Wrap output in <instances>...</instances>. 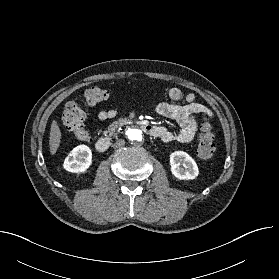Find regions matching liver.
Returning a JSON list of instances; mask_svg holds the SVG:
<instances>
[{"label":"liver","instance_id":"liver-1","mask_svg":"<svg viewBox=\"0 0 279 279\" xmlns=\"http://www.w3.org/2000/svg\"><path fill=\"white\" fill-rule=\"evenodd\" d=\"M61 141V131L55 120L52 121L49 136L50 153L54 155L59 148Z\"/></svg>","mask_w":279,"mask_h":279}]
</instances>
